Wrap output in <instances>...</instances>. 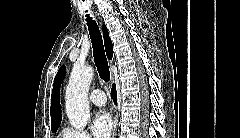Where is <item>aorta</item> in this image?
I'll use <instances>...</instances> for the list:
<instances>
[{"label": "aorta", "mask_w": 240, "mask_h": 138, "mask_svg": "<svg viewBox=\"0 0 240 138\" xmlns=\"http://www.w3.org/2000/svg\"><path fill=\"white\" fill-rule=\"evenodd\" d=\"M91 66L74 65L66 88V113L74 128H84L90 120L88 90L93 78Z\"/></svg>", "instance_id": "obj_1"}]
</instances>
